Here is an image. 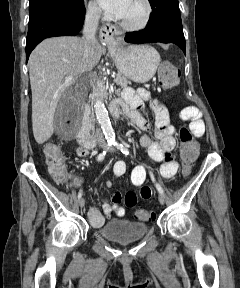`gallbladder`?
I'll use <instances>...</instances> for the list:
<instances>
[{
    "mask_svg": "<svg viewBox=\"0 0 240 288\" xmlns=\"http://www.w3.org/2000/svg\"><path fill=\"white\" fill-rule=\"evenodd\" d=\"M78 110L79 106L75 101L74 95L71 92V89H68L63 93L58 102L54 121H61L68 117H72L78 113Z\"/></svg>",
    "mask_w": 240,
    "mask_h": 288,
    "instance_id": "1",
    "label": "gallbladder"
}]
</instances>
